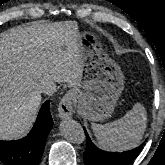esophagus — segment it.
<instances>
[{
  "mask_svg": "<svg viewBox=\"0 0 165 165\" xmlns=\"http://www.w3.org/2000/svg\"><path fill=\"white\" fill-rule=\"evenodd\" d=\"M73 93L72 92H68L64 95V97L62 98V100L60 101L59 105H58V116L61 119H68L71 118V116L73 115Z\"/></svg>",
  "mask_w": 165,
  "mask_h": 165,
  "instance_id": "obj_1",
  "label": "esophagus"
}]
</instances>
